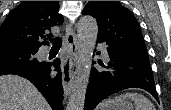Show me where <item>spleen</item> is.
I'll return each mask as SVG.
<instances>
[{"label": "spleen", "instance_id": "3e777b00", "mask_svg": "<svg viewBox=\"0 0 171 110\" xmlns=\"http://www.w3.org/2000/svg\"><path fill=\"white\" fill-rule=\"evenodd\" d=\"M124 99H131L135 104V110H156L148 98L137 92H127L113 99H108L99 105L98 110H113V105Z\"/></svg>", "mask_w": 171, "mask_h": 110}]
</instances>
